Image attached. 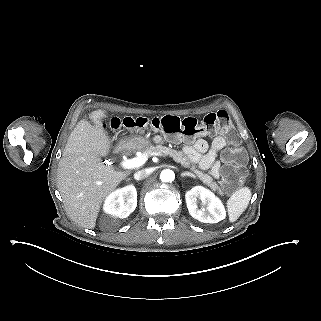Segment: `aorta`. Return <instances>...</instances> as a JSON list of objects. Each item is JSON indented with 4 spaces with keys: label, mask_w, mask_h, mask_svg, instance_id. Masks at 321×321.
<instances>
[{
    "label": "aorta",
    "mask_w": 321,
    "mask_h": 321,
    "mask_svg": "<svg viewBox=\"0 0 321 321\" xmlns=\"http://www.w3.org/2000/svg\"><path fill=\"white\" fill-rule=\"evenodd\" d=\"M160 178L163 182H172L175 179V174L170 169H165L161 172Z\"/></svg>",
    "instance_id": "obj_1"
}]
</instances>
